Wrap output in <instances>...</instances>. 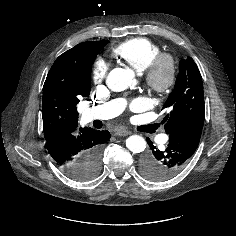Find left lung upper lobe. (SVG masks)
<instances>
[{
	"label": "left lung upper lobe",
	"mask_w": 236,
	"mask_h": 236,
	"mask_svg": "<svg viewBox=\"0 0 236 236\" xmlns=\"http://www.w3.org/2000/svg\"><path fill=\"white\" fill-rule=\"evenodd\" d=\"M173 91L164 104L169 114L162 123L167 134L192 122L204 121L203 82L198 67L191 57L181 60Z\"/></svg>",
	"instance_id": "left-lung-upper-lobe-1"
}]
</instances>
